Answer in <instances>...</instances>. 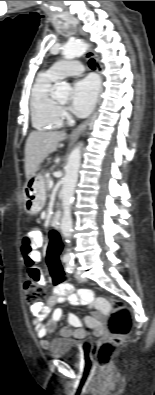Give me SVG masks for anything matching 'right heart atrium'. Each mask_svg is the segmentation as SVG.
Instances as JSON below:
<instances>
[{
    "mask_svg": "<svg viewBox=\"0 0 155 395\" xmlns=\"http://www.w3.org/2000/svg\"><path fill=\"white\" fill-rule=\"evenodd\" d=\"M60 114H61L62 117H65V116H66V113H65L64 110H61V111H60Z\"/></svg>",
    "mask_w": 155,
    "mask_h": 395,
    "instance_id": "1",
    "label": "right heart atrium"
}]
</instances>
